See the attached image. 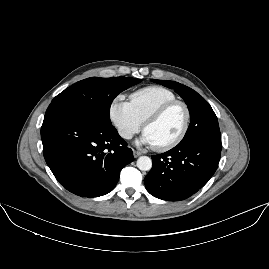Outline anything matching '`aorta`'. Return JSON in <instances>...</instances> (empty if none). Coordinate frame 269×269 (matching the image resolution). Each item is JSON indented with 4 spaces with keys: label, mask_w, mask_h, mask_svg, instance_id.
Listing matches in <instances>:
<instances>
[{
    "label": "aorta",
    "mask_w": 269,
    "mask_h": 269,
    "mask_svg": "<svg viewBox=\"0 0 269 269\" xmlns=\"http://www.w3.org/2000/svg\"><path fill=\"white\" fill-rule=\"evenodd\" d=\"M137 168L141 171H149L152 168V160L148 156H140L137 159Z\"/></svg>",
    "instance_id": "1"
}]
</instances>
